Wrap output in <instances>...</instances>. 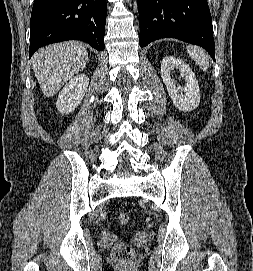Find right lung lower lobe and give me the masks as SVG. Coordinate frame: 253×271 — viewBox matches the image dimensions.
<instances>
[{
  "label": "right lung lower lobe",
  "mask_w": 253,
  "mask_h": 271,
  "mask_svg": "<svg viewBox=\"0 0 253 271\" xmlns=\"http://www.w3.org/2000/svg\"><path fill=\"white\" fill-rule=\"evenodd\" d=\"M106 9V0H35L29 57L42 46L73 39L103 51Z\"/></svg>",
  "instance_id": "obj_1"
}]
</instances>
